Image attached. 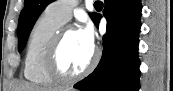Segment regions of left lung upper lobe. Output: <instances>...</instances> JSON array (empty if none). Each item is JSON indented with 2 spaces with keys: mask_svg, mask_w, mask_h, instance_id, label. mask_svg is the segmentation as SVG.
Listing matches in <instances>:
<instances>
[{
  "mask_svg": "<svg viewBox=\"0 0 173 91\" xmlns=\"http://www.w3.org/2000/svg\"><path fill=\"white\" fill-rule=\"evenodd\" d=\"M53 0H25L18 23V50L21 51L27 42L28 36L38 16ZM97 13H90L94 21Z\"/></svg>",
  "mask_w": 173,
  "mask_h": 91,
  "instance_id": "obj_1",
  "label": "left lung upper lobe"
}]
</instances>
